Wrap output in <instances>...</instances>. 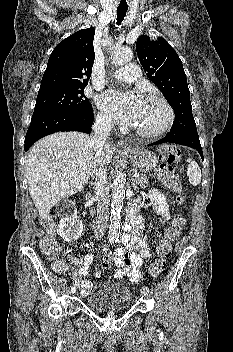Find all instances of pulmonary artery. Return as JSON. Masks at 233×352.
Returning a JSON list of instances; mask_svg holds the SVG:
<instances>
[{"label":"pulmonary artery","instance_id":"obj_1","mask_svg":"<svg viewBox=\"0 0 233 352\" xmlns=\"http://www.w3.org/2000/svg\"><path fill=\"white\" fill-rule=\"evenodd\" d=\"M113 77L121 82L131 83L139 79L140 70L137 65L128 64L113 73Z\"/></svg>","mask_w":233,"mask_h":352}]
</instances>
